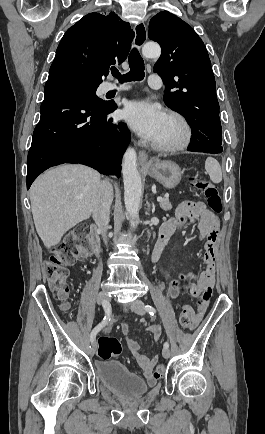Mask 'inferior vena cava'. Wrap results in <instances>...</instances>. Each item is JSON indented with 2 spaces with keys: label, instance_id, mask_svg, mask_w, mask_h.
I'll list each match as a JSON object with an SVG mask.
<instances>
[{
  "label": "inferior vena cava",
  "instance_id": "inferior-vena-cava-1",
  "mask_svg": "<svg viewBox=\"0 0 265 434\" xmlns=\"http://www.w3.org/2000/svg\"><path fill=\"white\" fill-rule=\"evenodd\" d=\"M113 202V188L109 182H101L97 192L95 204L93 206V220L98 226L104 240L107 238V226L110 216V206Z\"/></svg>",
  "mask_w": 265,
  "mask_h": 434
}]
</instances>
